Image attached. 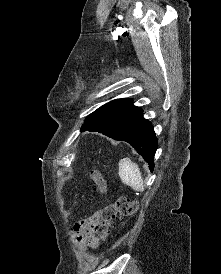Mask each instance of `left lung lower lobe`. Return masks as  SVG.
Returning a JSON list of instances; mask_svg holds the SVG:
<instances>
[{"mask_svg":"<svg viewBox=\"0 0 221 274\" xmlns=\"http://www.w3.org/2000/svg\"><path fill=\"white\" fill-rule=\"evenodd\" d=\"M92 124L83 131L103 133L115 140L128 142L154 170L157 138L151 123L144 119L140 107L131 99L107 103L93 112Z\"/></svg>","mask_w":221,"mask_h":274,"instance_id":"left-lung-lower-lobe-1","label":"left lung lower lobe"}]
</instances>
